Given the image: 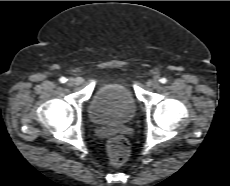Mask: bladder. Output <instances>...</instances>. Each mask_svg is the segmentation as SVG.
Returning a JSON list of instances; mask_svg holds the SVG:
<instances>
[{
  "label": "bladder",
  "mask_w": 230,
  "mask_h": 186,
  "mask_svg": "<svg viewBox=\"0 0 230 186\" xmlns=\"http://www.w3.org/2000/svg\"><path fill=\"white\" fill-rule=\"evenodd\" d=\"M88 112L96 124L120 125L134 116L136 101L127 85L107 83L94 91Z\"/></svg>",
  "instance_id": "bladder-1"
}]
</instances>
